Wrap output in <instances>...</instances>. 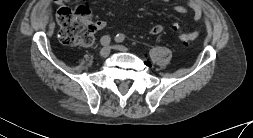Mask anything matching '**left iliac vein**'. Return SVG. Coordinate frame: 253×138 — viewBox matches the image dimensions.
<instances>
[{
	"mask_svg": "<svg viewBox=\"0 0 253 138\" xmlns=\"http://www.w3.org/2000/svg\"><path fill=\"white\" fill-rule=\"evenodd\" d=\"M113 48H114L115 50L123 51V52H125V51L128 50V49H127L125 46H123V45H114Z\"/></svg>",
	"mask_w": 253,
	"mask_h": 138,
	"instance_id": "obj_1",
	"label": "left iliac vein"
}]
</instances>
